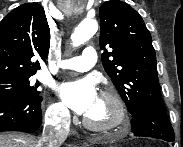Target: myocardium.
Here are the masks:
<instances>
[{"label": "myocardium", "mask_w": 183, "mask_h": 147, "mask_svg": "<svg viewBox=\"0 0 183 147\" xmlns=\"http://www.w3.org/2000/svg\"><path fill=\"white\" fill-rule=\"evenodd\" d=\"M101 98L109 100L115 108L116 118L109 124H98L87 118L83 117V124L86 128L94 132H110L121 129L124 127L129 119L128 109L124 100L114 91L104 90L99 95Z\"/></svg>", "instance_id": "1"}]
</instances>
